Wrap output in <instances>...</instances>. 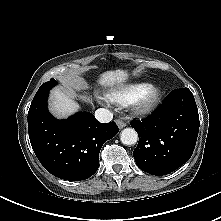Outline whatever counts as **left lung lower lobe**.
Instances as JSON below:
<instances>
[{"instance_id":"left-lung-lower-lobe-1","label":"left lung lower lobe","mask_w":221,"mask_h":221,"mask_svg":"<svg viewBox=\"0 0 221 221\" xmlns=\"http://www.w3.org/2000/svg\"><path fill=\"white\" fill-rule=\"evenodd\" d=\"M131 126L139 135L133 151L137 166L153 175L169 174L186 163L196 144L199 114L188 88L168 94L153 114Z\"/></svg>"}]
</instances>
